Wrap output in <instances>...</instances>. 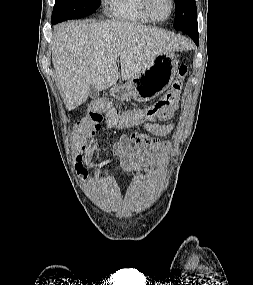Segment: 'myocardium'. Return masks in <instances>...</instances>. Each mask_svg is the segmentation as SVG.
<instances>
[{
    "label": "myocardium",
    "instance_id": "1",
    "mask_svg": "<svg viewBox=\"0 0 253 285\" xmlns=\"http://www.w3.org/2000/svg\"><path fill=\"white\" fill-rule=\"evenodd\" d=\"M142 1H143L144 12L147 14V16L152 21H155V22H164V21L168 20L173 15L174 10H175V0H169L171 8H170V12H169L168 16L165 18H158L151 11L150 0H142Z\"/></svg>",
    "mask_w": 253,
    "mask_h": 285
}]
</instances>
